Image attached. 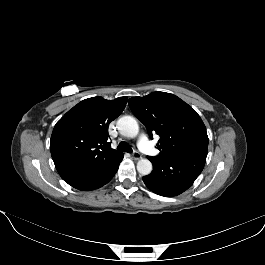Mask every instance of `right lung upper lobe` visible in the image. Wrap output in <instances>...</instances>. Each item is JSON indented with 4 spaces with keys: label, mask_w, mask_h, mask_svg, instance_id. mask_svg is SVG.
Wrapping results in <instances>:
<instances>
[{
    "label": "right lung upper lobe",
    "mask_w": 265,
    "mask_h": 265,
    "mask_svg": "<svg viewBox=\"0 0 265 265\" xmlns=\"http://www.w3.org/2000/svg\"><path fill=\"white\" fill-rule=\"evenodd\" d=\"M127 97L85 99L55 125L50 142L56 168L88 161H104L121 152L108 142V126L124 110Z\"/></svg>",
    "instance_id": "1"
}]
</instances>
